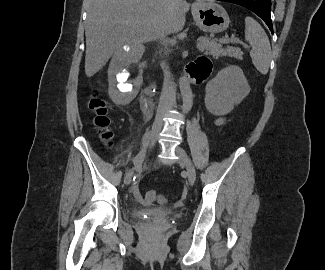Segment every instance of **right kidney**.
<instances>
[{
  "label": "right kidney",
  "mask_w": 325,
  "mask_h": 270,
  "mask_svg": "<svg viewBox=\"0 0 325 270\" xmlns=\"http://www.w3.org/2000/svg\"><path fill=\"white\" fill-rule=\"evenodd\" d=\"M140 58L141 56L128 45L114 53L108 69V92L115 104H129L138 94L143 83ZM129 68L137 74L135 77L131 78Z\"/></svg>",
  "instance_id": "obj_1"
}]
</instances>
